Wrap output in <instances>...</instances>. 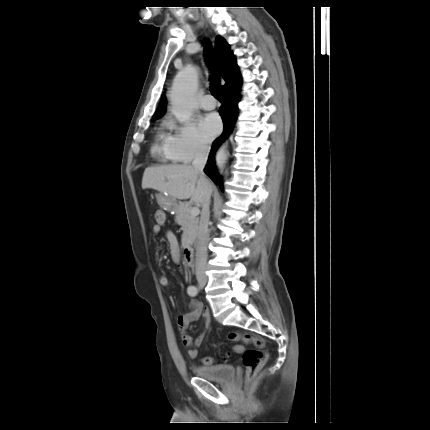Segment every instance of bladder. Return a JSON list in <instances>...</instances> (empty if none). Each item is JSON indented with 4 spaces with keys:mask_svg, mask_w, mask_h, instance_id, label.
<instances>
[{
    "mask_svg": "<svg viewBox=\"0 0 430 430\" xmlns=\"http://www.w3.org/2000/svg\"><path fill=\"white\" fill-rule=\"evenodd\" d=\"M193 371L198 377L217 383H228L235 376V367L230 364L199 365Z\"/></svg>",
    "mask_w": 430,
    "mask_h": 430,
    "instance_id": "31cf9c89",
    "label": "bladder"
}]
</instances>
